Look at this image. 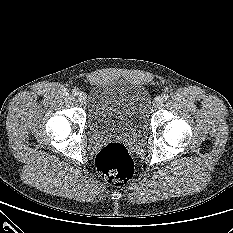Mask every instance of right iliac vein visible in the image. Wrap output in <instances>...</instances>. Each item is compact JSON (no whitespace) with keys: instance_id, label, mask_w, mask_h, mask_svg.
<instances>
[{"instance_id":"obj_1","label":"right iliac vein","mask_w":233,"mask_h":233,"mask_svg":"<svg viewBox=\"0 0 233 233\" xmlns=\"http://www.w3.org/2000/svg\"><path fill=\"white\" fill-rule=\"evenodd\" d=\"M77 97H78V100H79L80 103H85L86 102L87 97H86V95L84 93H82V92L79 93Z\"/></svg>"}]
</instances>
